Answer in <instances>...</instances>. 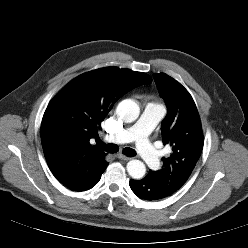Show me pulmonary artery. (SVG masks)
<instances>
[{
  "label": "pulmonary artery",
  "instance_id": "1",
  "mask_svg": "<svg viewBox=\"0 0 248 248\" xmlns=\"http://www.w3.org/2000/svg\"><path fill=\"white\" fill-rule=\"evenodd\" d=\"M164 115V108L157 103H148L139 119L131 126L117 131L107 137L115 144L135 142L136 150L141 158L153 169L160 165V152L149 140V135Z\"/></svg>",
  "mask_w": 248,
  "mask_h": 248
}]
</instances>
